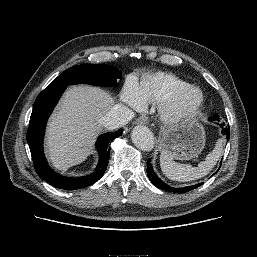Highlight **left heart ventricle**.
Here are the masks:
<instances>
[{
  "label": "left heart ventricle",
  "instance_id": "b2bd125f",
  "mask_svg": "<svg viewBox=\"0 0 257 257\" xmlns=\"http://www.w3.org/2000/svg\"><path fill=\"white\" fill-rule=\"evenodd\" d=\"M197 99L198 95L196 93H188L180 99L179 107L188 109L196 103Z\"/></svg>",
  "mask_w": 257,
  "mask_h": 257
}]
</instances>
